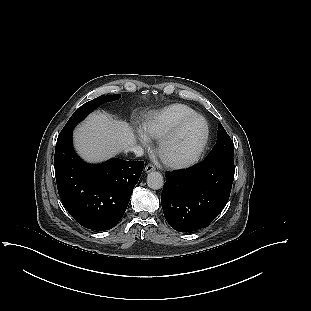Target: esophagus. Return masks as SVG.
I'll return each mask as SVG.
<instances>
[{"mask_svg":"<svg viewBox=\"0 0 311 311\" xmlns=\"http://www.w3.org/2000/svg\"><path fill=\"white\" fill-rule=\"evenodd\" d=\"M155 170V166L153 164H148L146 167H145V172L146 173H149L151 171H154Z\"/></svg>","mask_w":311,"mask_h":311,"instance_id":"esophagus-1","label":"esophagus"}]
</instances>
